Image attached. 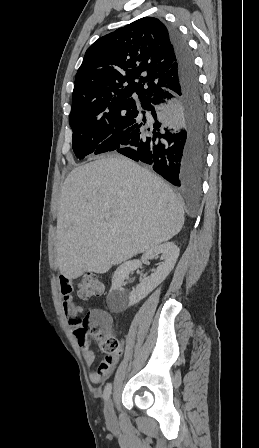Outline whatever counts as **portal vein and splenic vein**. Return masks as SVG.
Here are the masks:
<instances>
[{
	"mask_svg": "<svg viewBox=\"0 0 259 448\" xmlns=\"http://www.w3.org/2000/svg\"><path fill=\"white\" fill-rule=\"evenodd\" d=\"M110 216H111V212H108V214H104L105 220H108V218H110Z\"/></svg>",
	"mask_w": 259,
	"mask_h": 448,
	"instance_id": "obj_1",
	"label": "portal vein and splenic vein"
}]
</instances>
